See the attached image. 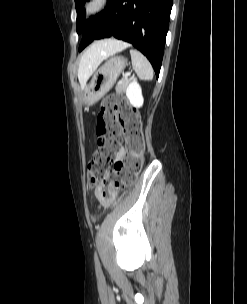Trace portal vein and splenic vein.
Here are the masks:
<instances>
[{
    "label": "portal vein and splenic vein",
    "mask_w": 247,
    "mask_h": 304,
    "mask_svg": "<svg viewBox=\"0 0 247 304\" xmlns=\"http://www.w3.org/2000/svg\"><path fill=\"white\" fill-rule=\"evenodd\" d=\"M128 76H130V72L124 74V77H128Z\"/></svg>",
    "instance_id": "obj_1"
}]
</instances>
